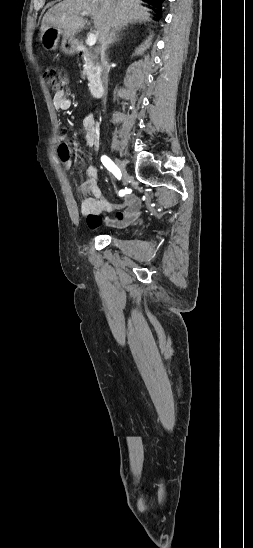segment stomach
<instances>
[{"label":"stomach","mask_w":253,"mask_h":548,"mask_svg":"<svg viewBox=\"0 0 253 548\" xmlns=\"http://www.w3.org/2000/svg\"><path fill=\"white\" fill-rule=\"evenodd\" d=\"M40 43L44 50L53 51L60 49L66 54H74L76 52V42L74 37H68L58 28L51 27L44 31L40 36Z\"/></svg>","instance_id":"obj_1"}]
</instances>
